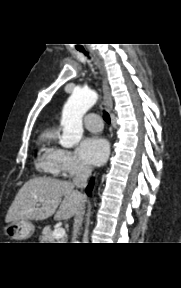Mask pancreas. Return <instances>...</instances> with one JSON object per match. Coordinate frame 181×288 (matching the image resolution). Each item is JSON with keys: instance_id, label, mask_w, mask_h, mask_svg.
<instances>
[{"instance_id": "obj_1", "label": "pancreas", "mask_w": 181, "mask_h": 288, "mask_svg": "<svg viewBox=\"0 0 181 288\" xmlns=\"http://www.w3.org/2000/svg\"><path fill=\"white\" fill-rule=\"evenodd\" d=\"M52 234H53V231L51 230L50 226L45 227L42 230L41 236L39 237L40 242L41 243H55V242L63 243L65 242L64 237L56 239L53 237Z\"/></svg>"}]
</instances>
